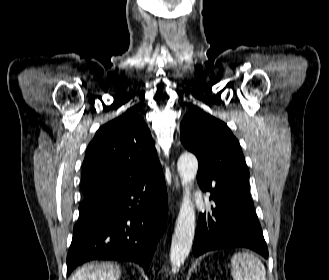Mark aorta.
Wrapping results in <instances>:
<instances>
[{
    "label": "aorta",
    "mask_w": 329,
    "mask_h": 280,
    "mask_svg": "<svg viewBox=\"0 0 329 280\" xmlns=\"http://www.w3.org/2000/svg\"><path fill=\"white\" fill-rule=\"evenodd\" d=\"M177 169L184 188V195L170 248L172 271H178L185 262L192 248L195 235L196 217L191 201L190 186L197 174V158L190 153L182 154L178 159Z\"/></svg>",
    "instance_id": "aorta-1"
}]
</instances>
